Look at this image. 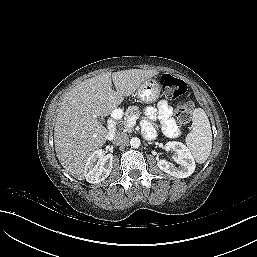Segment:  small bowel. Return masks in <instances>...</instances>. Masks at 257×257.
<instances>
[{
  "instance_id": "1",
  "label": "small bowel",
  "mask_w": 257,
  "mask_h": 257,
  "mask_svg": "<svg viewBox=\"0 0 257 257\" xmlns=\"http://www.w3.org/2000/svg\"><path fill=\"white\" fill-rule=\"evenodd\" d=\"M145 113L151 119L160 120L167 135L172 136L178 133V128L171 118L172 108L165 100H161L156 107H148Z\"/></svg>"
}]
</instances>
